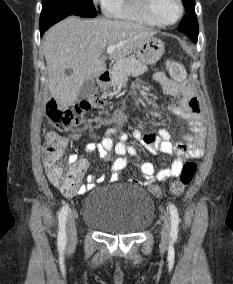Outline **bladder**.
Instances as JSON below:
<instances>
[{"mask_svg":"<svg viewBox=\"0 0 233 284\" xmlns=\"http://www.w3.org/2000/svg\"><path fill=\"white\" fill-rule=\"evenodd\" d=\"M155 205L150 195L133 185L98 189L85 198L83 222L102 233L133 235L152 223Z\"/></svg>","mask_w":233,"mask_h":284,"instance_id":"obj_1","label":"bladder"}]
</instances>
